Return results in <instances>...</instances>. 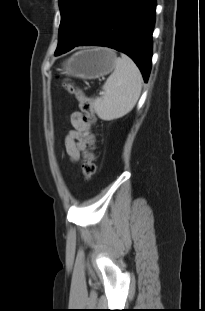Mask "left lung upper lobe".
I'll use <instances>...</instances> for the list:
<instances>
[{
	"instance_id": "1",
	"label": "left lung upper lobe",
	"mask_w": 205,
	"mask_h": 311,
	"mask_svg": "<svg viewBox=\"0 0 205 311\" xmlns=\"http://www.w3.org/2000/svg\"><path fill=\"white\" fill-rule=\"evenodd\" d=\"M115 0H59L61 23L59 42L55 53L65 52L75 46L105 17ZM81 20L72 24L75 16Z\"/></svg>"
}]
</instances>
